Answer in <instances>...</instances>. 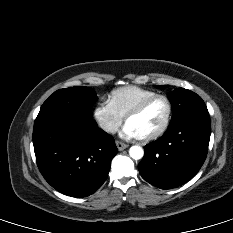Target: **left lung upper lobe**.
Returning <instances> with one entry per match:
<instances>
[{
  "instance_id": "obj_1",
  "label": "left lung upper lobe",
  "mask_w": 233,
  "mask_h": 233,
  "mask_svg": "<svg viewBox=\"0 0 233 233\" xmlns=\"http://www.w3.org/2000/svg\"><path fill=\"white\" fill-rule=\"evenodd\" d=\"M156 87L165 88L167 86L156 85ZM168 98L172 106V119L170 124L192 115H208L207 107L201 97L188 89L176 88L168 94Z\"/></svg>"
}]
</instances>
